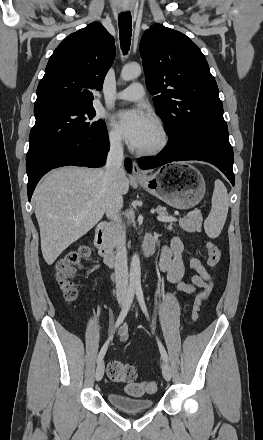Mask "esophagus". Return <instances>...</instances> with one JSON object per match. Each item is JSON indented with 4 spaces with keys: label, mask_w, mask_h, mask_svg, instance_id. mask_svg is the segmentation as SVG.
Listing matches in <instances>:
<instances>
[{
    "label": "esophagus",
    "mask_w": 263,
    "mask_h": 440,
    "mask_svg": "<svg viewBox=\"0 0 263 440\" xmlns=\"http://www.w3.org/2000/svg\"><path fill=\"white\" fill-rule=\"evenodd\" d=\"M145 174L141 171L136 161H133L132 177L135 179H141Z\"/></svg>",
    "instance_id": "obj_1"
}]
</instances>
